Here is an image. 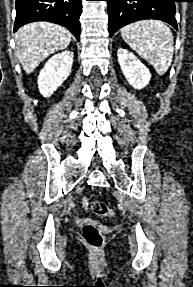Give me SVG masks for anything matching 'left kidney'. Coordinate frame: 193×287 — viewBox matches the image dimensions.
Returning <instances> with one entry per match:
<instances>
[{"label": "left kidney", "instance_id": "1", "mask_svg": "<svg viewBox=\"0 0 193 287\" xmlns=\"http://www.w3.org/2000/svg\"><path fill=\"white\" fill-rule=\"evenodd\" d=\"M118 62L128 81L135 89H142L149 84L151 73L149 69L127 49H118Z\"/></svg>", "mask_w": 193, "mask_h": 287}]
</instances>
